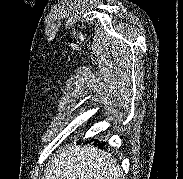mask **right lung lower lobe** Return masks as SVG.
<instances>
[{"label": "right lung lower lobe", "instance_id": "obj_1", "mask_svg": "<svg viewBox=\"0 0 183 179\" xmlns=\"http://www.w3.org/2000/svg\"><path fill=\"white\" fill-rule=\"evenodd\" d=\"M93 141V140H92ZM98 145L101 149H103L104 147H105V145H106V143L105 142H100V141H98V140H95V145Z\"/></svg>", "mask_w": 183, "mask_h": 179}]
</instances>
